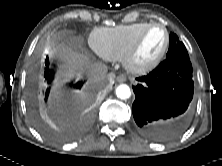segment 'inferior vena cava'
Masks as SVG:
<instances>
[{
  "mask_svg": "<svg viewBox=\"0 0 222 166\" xmlns=\"http://www.w3.org/2000/svg\"><path fill=\"white\" fill-rule=\"evenodd\" d=\"M108 68L106 65L101 63H94L88 66L86 75L90 82H100L104 80L107 74Z\"/></svg>",
  "mask_w": 222,
  "mask_h": 166,
  "instance_id": "obj_1",
  "label": "inferior vena cava"
}]
</instances>
